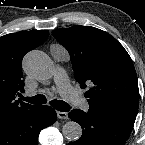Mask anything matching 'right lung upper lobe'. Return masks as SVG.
<instances>
[{
  "mask_svg": "<svg viewBox=\"0 0 145 145\" xmlns=\"http://www.w3.org/2000/svg\"><path fill=\"white\" fill-rule=\"evenodd\" d=\"M47 30L20 31L0 37V122L33 107L17 99L24 92L22 59L48 37Z\"/></svg>",
  "mask_w": 145,
  "mask_h": 145,
  "instance_id": "obj_1",
  "label": "right lung upper lobe"
}]
</instances>
